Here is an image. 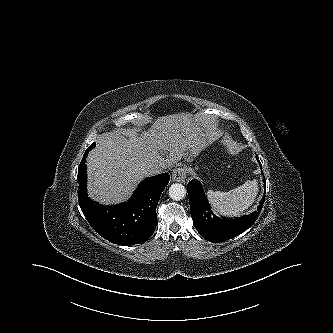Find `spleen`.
I'll list each match as a JSON object with an SVG mask.
<instances>
[{
  "instance_id": "1",
  "label": "spleen",
  "mask_w": 333,
  "mask_h": 333,
  "mask_svg": "<svg viewBox=\"0 0 333 333\" xmlns=\"http://www.w3.org/2000/svg\"><path fill=\"white\" fill-rule=\"evenodd\" d=\"M257 193V180H248L228 192L209 190L207 197L216 212L225 216H238L253 204Z\"/></svg>"
}]
</instances>
